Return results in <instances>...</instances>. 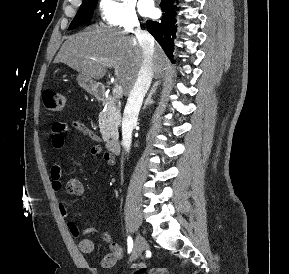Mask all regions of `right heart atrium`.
<instances>
[{"instance_id": "obj_1", "label": "right heart atrium", "mask_w": 289, "mask_h": 274, "mask_svg": "<svg viewBox=\"0 0 289 274\" xmlns=\"http://www.w3.org/2000/svg\"><path fill=\"white\" fill-rule=\"evenodd\" d=\"M100 25L105 28L133 32L139 27V17L132 0H100Z\"/></svg>"}]
</instances>
